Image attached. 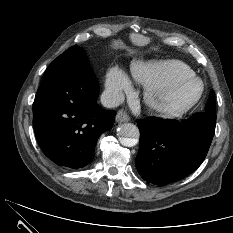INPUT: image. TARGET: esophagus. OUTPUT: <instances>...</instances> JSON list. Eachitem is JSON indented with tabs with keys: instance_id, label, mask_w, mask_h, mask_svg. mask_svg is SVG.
<instances>
[{
	"instance_id": "obj_1",
	"label": "esophagus",
	"mask_w": 233,
	"mask_h": 233,
	"mask_svg": "<svg viewBox=\"0 0 233 233\" xmlns=\"http://www.w3.org/2000/svg\"><path fill=\"white\" fill-rule=\"evenodd\" d=\"M130 120L128 114L124 110H119L116 115V121L118 123L128 122Z\"/></svg>"
}]
</instances>
